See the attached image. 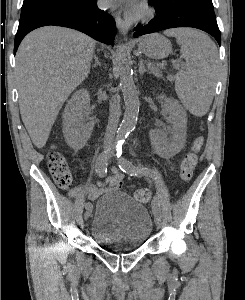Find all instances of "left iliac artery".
Here are the masks:
<instances>
[{"label": "left iliac artery", "instance_id": "1", "mask_svg": "<svg viewBox=\"0 0 245 300\" xmlns=\"http://www.w3.org/2000/svg\"><path fill=\"white\" fill-rule=\"evenodd\" d=\"M116 156L119 162V168L125 172L130 174L131 176H143V175H150L157 179L158 176L152 173L149 169L143 167H136L130 162L128 159L122 156V149L121 146H117L116 148ZM161 202V197L156 196L155 199L152 201V210L154 215L162 216L161 211L159 208V203Z\"/></svg>", "mask_w": 245, "mask_h": 300}]
</instances>
